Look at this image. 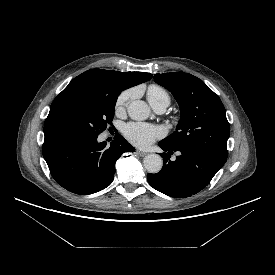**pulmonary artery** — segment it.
<instances>
[{"label":"pulmonary artery","instance_id":"1","mask_svg":"<svg viewBox=\"0 0 275 275\" xmlns=\"http://www.w3.org/2000/svg\"><path fill=\"white\" fill-rule=\"evenodd\" d=\"M166 105L161 104V105H157L155 107H153L155 109L156 112L158 113H163L166 110Z\"/></svg>","mask_w":275,"mask_h":275}]
</instances>
